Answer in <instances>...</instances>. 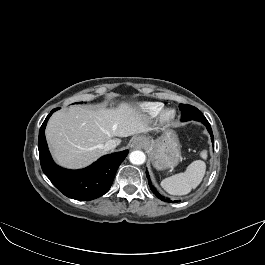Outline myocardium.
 <instances>
[{
	"instance_id": "obj_1",
	"label": "myocardium",
	"mask_w": 265,
	"mask_h": 265,
	"mask_svg": "<svg viewBox=\"0 0 265 265\" xmlns=\"http://www.w3.org/2000/svg\"><path fill=\"white\" fill-rule=\"evenodd\" d=\"M176 117V111L173 108L163 109L159 115V122L162 125L170 124Z\"/></svg>"
}]
</instances>
